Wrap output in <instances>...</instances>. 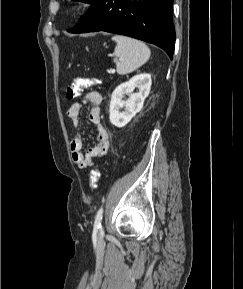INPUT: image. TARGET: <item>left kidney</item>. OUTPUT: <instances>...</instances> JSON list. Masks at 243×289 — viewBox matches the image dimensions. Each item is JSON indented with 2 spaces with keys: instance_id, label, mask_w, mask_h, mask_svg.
<instances>
[{
  "instance_id": "1",
  "label": "left kidney",
  "mask_w": 243,
  "mask_h": 289,
  "mask_svg": "<svg viewBox=\"0 0 243 289\" xmlns=\"http://www.w3.org/2000/svg\"><path fill=\"white\" fill-rule=\"evenodd\" d=\"M152 81L149 74H139L128 82L122 83L113 91L109 108L110 122L116 127H124L131 119L141 111L144 100L149 95ZM135 88L139 91L133 93ZM129 97L124 100V95ZM123 111H120L123 109Z\"/></svg>"
}]
</instances>
